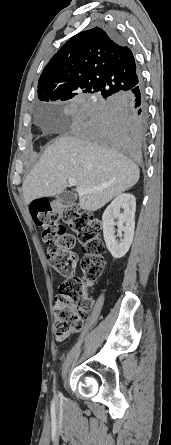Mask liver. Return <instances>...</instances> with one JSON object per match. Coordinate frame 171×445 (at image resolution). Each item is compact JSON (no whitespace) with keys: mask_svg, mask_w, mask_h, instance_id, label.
Returning <instances> with one entry per match:
<instances>
[{"mask_svg":"<svg viewBox=\"0 0 171 445\" xmlns=\"http://www.w3.org/2000/svg\"><path fill=\"white\" fill-rule=\"evenodd\" d=\"M138 166L127 157H118L108 147L83 136H61L43 153L23 182L26 204L41 197L55 196L74 178L78 188H101L79 196L80 208L96 211L114 197L134 186Z\"/></svg>","mask_w":171,"mask_h":445,"instance_id":"liver-1","label":"liver"}]
</instances>
